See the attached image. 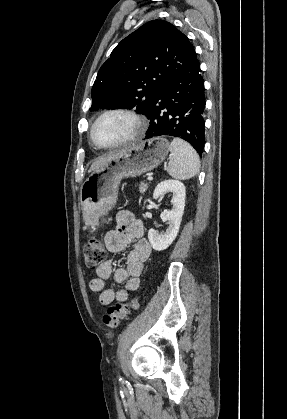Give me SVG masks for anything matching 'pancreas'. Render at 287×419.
Masks as SVG:
<instances>
[{
	"mask_svg": "<svg viewBox=\"0 0 287 419\" xmlns=\"http://www.w3.org/2000/svg\"><path fill=\"white\" fill-rule=\"evenodd\" d=\"M149 184L145 183V182H141L138 186L139 188V192L144 194L146 192V190L148 189Z\"/></svg>",
	"mask_w": 287,
	"mask_h": 419,
	"instance_id": "obj_1",
	"label": "pancreas"
}]
</instances>
